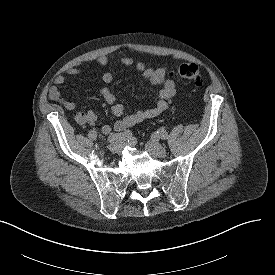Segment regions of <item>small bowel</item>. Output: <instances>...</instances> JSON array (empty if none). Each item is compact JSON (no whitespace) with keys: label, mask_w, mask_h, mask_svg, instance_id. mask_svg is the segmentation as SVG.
Returning a JSON list of instances; mask_svg holds the SVG:
<instances>
[{"label":"small bowel","mask_w":275,"mask_h":275,"mask_svg":"<svg viewBox=\"0 0 275 275\" xmlns=\"http://www.w3.org/2000/svg\"><path fill=\"white\" fill-rule=\"evenodd\" d=\"M112 61L123 66H131L134 64V59L131 57L110 55L99 56L95 59V62L100 66H106ZM135 69L142 74L147 83L161 86L156 93L155 103L152 107L132 114L123 115L125 112V106L116 101V97L109 87L104 86L100 89L101 96L106 103L111 105L112 115L119 117V119H117L113 125H109L101 123L98 116L93 111L81 110L75 113V122L79 125L98 124L101 127L102 133L108 135L112 131L121 132L141 122L155 118L165 112L168 108L169 101L177 92L176 82L168 77L167 67L151 68L147 67L144 62H137L135 64ZM81 74L82 70L74 67L65 70L63 74L58 75L54 79V85L49 89V98L61 104L67 110H74L76 108L75 102L65 99L59 90V86L66 82V76H79ZM102 80L104 83L110 84L113 81V75L106 72L102 75Z\"/></svg>","instance_id":"obj_1"}]
</instances>
